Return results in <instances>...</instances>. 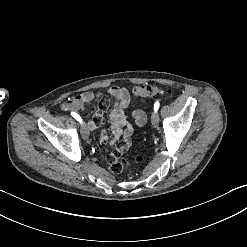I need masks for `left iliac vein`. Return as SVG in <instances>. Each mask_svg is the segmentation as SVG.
I'll use <instances>...</instances> for the list:
<instances>
[{
  "instance_id": "obj_1",
  "label": "left iliac vein",
  "mask_w": 247,
  "mask_h": 247,
  "mask_svg": "<svg viewBox=\"0 0 247 247\" xmlns=\"http://www.w3.org/2000/svg\"><path fill=\"white\" fill-rule=\"evenodd\" d=\"M151 121H152V125L155 128L159 127V117H158V114L155 111H153L152 114H151Z\"/></svg>"
}]
</instances>
